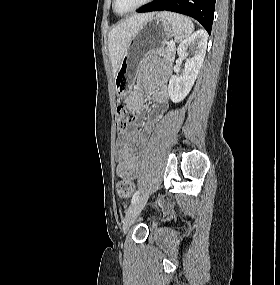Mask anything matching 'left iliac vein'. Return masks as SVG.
I'll use <instances>...</instances> for the list:
<instances>
[{
  "instance_id": "1",
  "label": "left iliac vein",
  "mask_w": 280,
  "mask_h": 285,
  "mask_svg": "<svg viewBox=\"0 0 280 285\" xmlns=\"http://www.w3.org/2000/svg\"><path fill=\"white\" fill-rule=\"evenodd\" d=\"M148 197L149 196L147 193L142 195L128 209L125 221H124L123 226H122V232L124 234H126L129 231L130 227L135 222L136 218L138 217V215L142 211L143 207L147 203Z\"/></svg>"
}]
</instances>
